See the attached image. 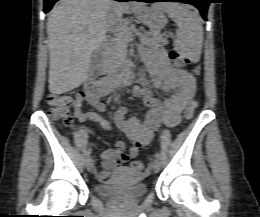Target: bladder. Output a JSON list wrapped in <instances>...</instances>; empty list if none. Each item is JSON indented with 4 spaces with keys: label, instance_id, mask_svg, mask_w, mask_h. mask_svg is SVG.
<instances>
[{
    "label": "bladder",
    "instance_id": "1",
    "mask_svg": "<svg viewBox=\"0 0 260 217\" xmlns=\"http://www.w3.org/2000/svg\"><path fill=\"white\" fill-rule=\"evenodd\" d=\"M99 196L125 203L138 202L147 195V186L140 182L139 173L129 167L116 169L104 184L96 186Z\"/></svg>",
    "mask_w": 260,
    "mask_h": 217
}]
</instances>
